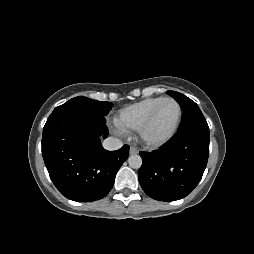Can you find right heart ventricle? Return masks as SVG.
Wrapping results in <instances>:
<instances>
[{
  "label": "right heart ventricle",
  "mask_w": 254,
  "mask_h": 254,
  "mask_svg": "<svg viewBox=\"0 0 254 254\" xmlns=\"http://www.w3.org/2000/svg\"><path fill=\"white\" fill-rule=\"evenodd\" d=\"M164 97L146 98L122 108L116 118L117 124L125 131H137L152 109Z\"/></svg>",
  "instance_id": "1"
}]
</instances>
